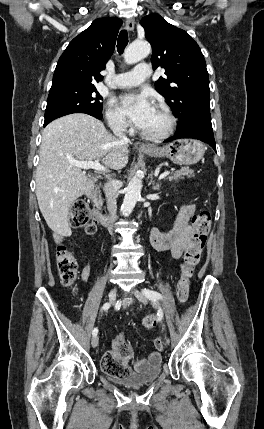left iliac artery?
<instances>
[{
	"label": "left iliac artery",
	"mask_w": 264,
	"mask_h": 429,
	"mask_svg": "<svg viewBox=\"0 0 264 429\" xmlns=\"http://www.w3.org/2000/svg\"><path fill=\"white\" fill-rule=\"evenodd\" d=\"M145 292H151L152 294H156V297H157L158 300L159 299H163V296L160 293L156 292V291H153V290H150V289H146V288L142 289V293L144 294Z\"/></svg>",
	"instance_id": "1"
}]
</instances>
